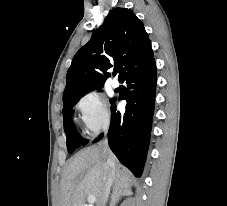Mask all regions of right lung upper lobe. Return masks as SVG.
Returning a JSON list of instances; mask_svg holds the SVG:
<instances>
[{"label":"right lung upper lobe","instance_id":"cb5924a9","mask_svg":"<svg viewBox=\"0 0 227 206\" xmlns=\"http://www.w3.org/2000/svg\"><path fill=\"white\" fill-rule=\"evenodd\" d=\"M153 57L143 23L127 8H114L87 44L73 57L63 99L103 87L107 70L119 64L120 79Z\"/></svg>","mask_w":227,"mask_h":206}]
</instances>
